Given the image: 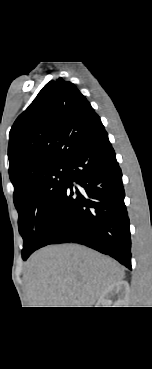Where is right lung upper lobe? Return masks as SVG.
<instances>
[{
    "mask_svg": "<svg viewBox=\"0 0 152 369\" xmlns=\"http://www.w3.org/2000/svg\"><path fill=\"white\" fill-rule=\"evenodd\" d=\"M104 126L76 86L51 80L16 119L9 133V176L18 194L37 173L68 164Z\"/></svg>",
    "mask_w": 152,
    "mask_h": 369,
    "instance_id": "cb5924a9",
    "label": "right lung upper lobe"
}]
</instances>
